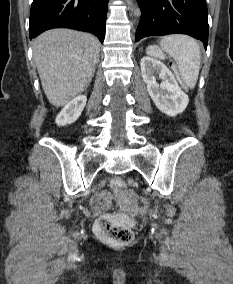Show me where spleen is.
I'll list each match as a JSON object with an SVG mask.
<instances>
[{
  "label": "spleen",
  "instance_id": "1",
  "mask_svg": "<svg viewBox=\"0 0 233 284\" xmlns=\"http://www.w3.org/2000/svg\"><path fill=\"white\" fill-rule=\"evenodd\" d=\"M168 53L175 61L179 74L188 88H194L200 71L201 54L197 41L186 35H169L161 39L159 46L147 48V54L161 58Z\"/></svg>",
  "mask_w": 233,
  "mask_h": 284
}]
</instances>
